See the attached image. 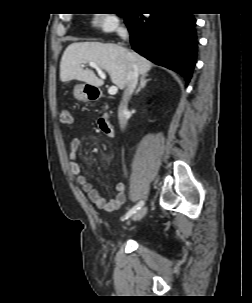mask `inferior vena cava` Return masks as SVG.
<instances>
[{
  "mask_svg": "<svg viewBox=\"0 0 252 303\" xmlns=\"http://www.w3.org/2000/svg\"><path fill=\"white\" fill-rule=\"evenodd\" d=\"M117 32L122 39L126 40L128 38V31L124 26L118 27ZM138 75H139V71L137 65L134 62L130 61L128 65L126 88L124 90L122 101L118 108V118L121 128H125L127 124V119H126L127 103L134 89L136 88L138 82Z\"/></svg>",
  "mask_w": 252,
  "mask_h": 303,
  "instance_id": "inferior-vena-cava-1",
  "label": "inferior vena cava"
}]
</instances>
